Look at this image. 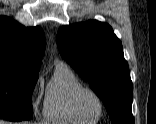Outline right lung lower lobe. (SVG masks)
I'll use <instances>...</instances> for the list:
<instances>
[{"label": "right lung lower lobe", "instance_id": "right-lung-lower-lobe-1", "mask_svg": "<svg viewBox=\"0 0 156 124\" xmlns=\"http://www.w3.org/2000/svg\"><path fill=\"white\" fill-rule=\"evenodd\" d=\"M0 119H6L9 121H21V120H25V119H20V118H14V117H8V116H3Z\"/></svg>", "mask_w": 156, "mask_h": 124}]
</instances>
